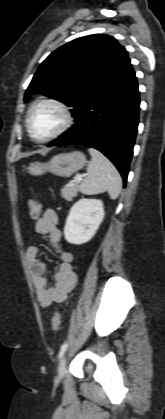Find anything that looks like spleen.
<instances>
[{
	"instance_id": "obj_1",
	"label": "spleen",
	"mask_w": 165,
	"mask_h": 419,
	"mask_svg": "<svg viewBox=\"0 0 165 419\" xmlns=\"http://www.w3.org/2000/svg\"><path fill=\"white\" fill-rule=\"evenodd\" d=\"M92 160L88 165V176L80 185L86 195L108 192L111 199H116L122 188V179L115 166L98 150L88 149Z\"/></svg>"
}]
</instances>
